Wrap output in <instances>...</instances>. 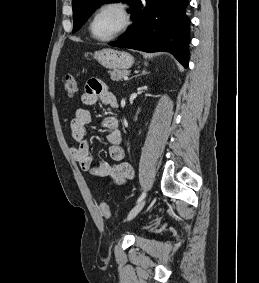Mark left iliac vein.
<instances>
[{
  "instance_id": "4c4485c4",
  "label": "left iliac vein",
  "mask_w": 259,
  "mask_h": 283,
  "mask_svg": "<svg viewBox=\"0 0 259 283\" xmlns=\"http://www.w3.org/2000/svg\"><path fill=\"white\" fill-rule=\"evenodd\" d=\"M146 200L143 199L140 202H138L129 212L128 216H127V220L130 221L132 220L135 216L138 215V213L143 209V207L145 206Z\"/></svg>"
}]
</instances>
